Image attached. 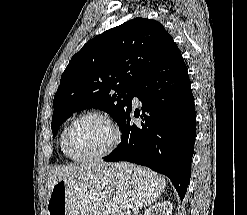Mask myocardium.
I'll list each match as a JSON object with an SVG mask.
<instances>
[{
    "mask_svg": "<svg viewBox=\"0 0 247 215\" xmlns=\"http://www.w3.org/2000/svg\"><path fill=\"white\" fill-rule=\"evenodd\" d=\"M86 118H96L108 125V127L111 129L113 137L111 143L108 145V147L96 154L92 155H86V156H78L74 154L72 147H71V133L74 128V126L81 120ZM121 140V132L117 124L107 115L97 112V111H88L80 114L75 119H73L70 124L67 126L66 132H65V148L69 155V157L72 160L75 161H93V160H100L107 156H109L119 145Z\"/></svg>",
    "mask_w": 247,
    "mask_h": 215,
    "instance_id": "obj_1",
    "label": "myocardium"
}]
</instances>
